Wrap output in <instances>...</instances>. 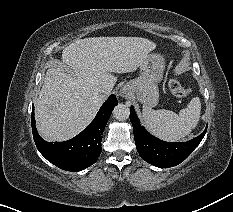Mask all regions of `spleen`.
Masks as SVG:
<instances>
[{
	"mask_svg": "<svg viewBox=\"0 0 233 212\" xmlns=\"http://www.w3.org/2000/svg\"><path fill=\"white\" fill-rule=\"evenodd\" d=\"M201 102L194 97L179 114L173 111L143 106V119L149 131L158 138L176 142L190 134L200 119Z\"/></svg>",
	"mask_w": 233,
	"mask_h": 212,
	"instance_id": "spleen-1",
	"label": "spleen"
}]
</instances>
